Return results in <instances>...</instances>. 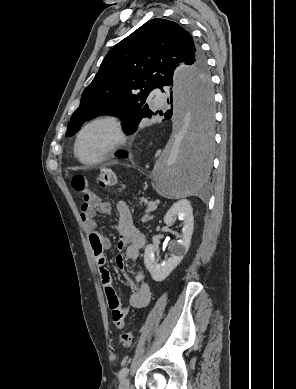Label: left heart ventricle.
<instances>
[{
	"instance_id": "1",
	"label": "left heart ventricle",
	"mask_w": 296,
	"mask_h": 389,
	"mask_svg": "<svg viewBox=\"0 0 296 389\" xmlns=\"http://www.w3.org/2000/svg\"><path fill=\"white\" fill-rule=\"evenodd\" d=\"M112 140V132L106 125L91 127L82 136L79 154L86 160L97 158Z\"/></svg>"
}]
</instances>
